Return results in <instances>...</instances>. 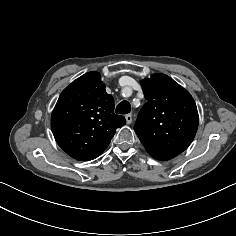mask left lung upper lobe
Listing matches in <instances>:
<instances>
[{"label": "left lung upper lobe", "mask_w": 236, "mask_h": 236, "mask_svg": "<svg viewBox=\"0 0 236 236\" xmlns=\"http://www.w3.org/2000/svg\"><path fill=\"white\" fill-rule=\"evenodd\" d=\"M147 99L134 130L150 153L177 156L191 144L199 116L190 93L164 74L141 81Z\"/></svg>", "instance_id": "left-lung-upper-lobe-1"}]
</instances>
